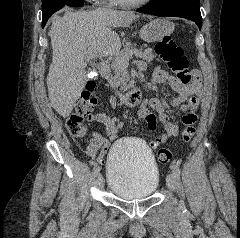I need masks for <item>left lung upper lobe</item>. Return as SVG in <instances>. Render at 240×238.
Returning a JSON list of instances; mask_svg holds the SVG:
<instances>
[{
	"mask_svg": "<svg viewBox=\"0 0 240 238\" xmlns=\"http://www.w3.org/2000/svg\"><path fill=\"white\" fill-rule=\"evenodd\" d=\"M156 1H159V0H150L149 3H154V2H156Z\"/></svg>",
	"mask_w": 240,
	"mask_h": 238,
	"instance_id": "left-lung-upper-lobe-1",
	"label": "left lung upper lobe"
}]
</instances>
